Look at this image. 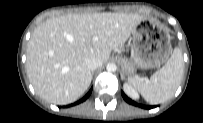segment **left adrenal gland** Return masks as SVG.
Here are the masks:
<instances>
[{
    "label": "left adrenal gland",
    "mask_w": 203,
    "mask_h": 123,
    "mask_svg": "<svg viewBox=\"0 0 203 123\" xmlns=\"http://www.w3.org/2000/svg\"><path fill=\"white\" fill-rule=\"evenodd\" d=\"M121 79L124 80V74L121 72Z\"/></svg>",
    "instance_id": "1"
}]
</instances>
